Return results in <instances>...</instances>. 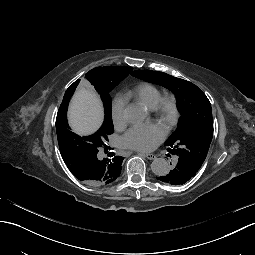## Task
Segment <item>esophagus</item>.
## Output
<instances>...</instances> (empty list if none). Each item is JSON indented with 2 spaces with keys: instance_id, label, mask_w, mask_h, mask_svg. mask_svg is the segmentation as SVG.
<instances>
[{
  "instance_id": "34e87169",
  "label": "esophagus",
  "mask_w": 255,
  "mask_h": 255,
  "mask_svg": "<svg viewBox=\"0 0 255 255\" xmlns=\"http://www.w3.org/2000/svg\"><path fill=\"white\" fill-rule=\"evenodd\" d=\"M144 156H145L147 159H150V160H154V159L157 158L156 155H154V154H145Z\"/></svg>"
}]
</instances>
